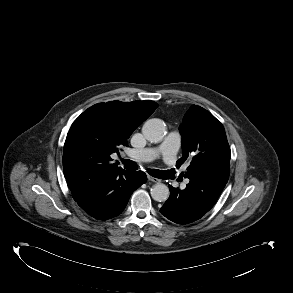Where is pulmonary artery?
I'll return each instance as SVG.
<instances>
[{"instance_id": "pulmonary-artery-1", "label": "pulmonary artery", "mask_w": 293, "mask_h": 293, "mask_svg": "<svg viewBox=\"0 0 293 293\" xmlns=\"http://www.w3.org/2000/svg\"><path fill=\"white\" fill-rule=\"evenodd\" d=\"M180 144L181 136L179 132L173 131L167 135L159 146L136 150L131 153V157L138 162H150L161 155L167 164L173 165L176 162Z\"/></svg>"}]
</instances>
